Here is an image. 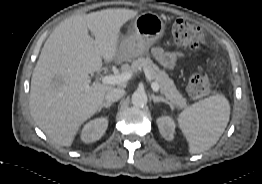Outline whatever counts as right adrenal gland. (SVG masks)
I'll return each instance as SVG.
<instances>
[{"instance_id": "right-adrenal-gland-1", "label": "right adrenal gland", "mask_w": 262, "mask_h": 184, "mask_svg": "<svg viewBox=\"0 0 262 184\" xmlns=\"http://www.w3.org/2000/svg\"><path fill=\"white\" fill-rule=\"evenodd\" d=\"M112 105L111 102H103L100 108L98 109V112H100L103 108H110Z\"/></svg>"}]
</instances>
